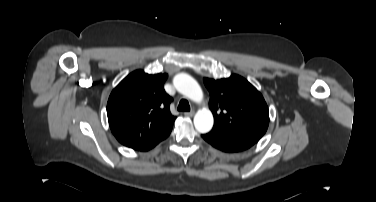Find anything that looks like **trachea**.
Returning a JSON list of instances; mask_svg holds the SVG:
<instances>
[{"mask_svg": "<svg viewBox=\"0 0 376 202\" xmlns=\"http://www.w3.org/2000/svg\"><path fill=\"white\" fill-rule=\"evenodd\" d=\"M179 111H190V105L186 99H182L178 105Z\"/></svg>", "mask_w": 376, "mask_h": 202, "instance_id": "obj_1", "label": "trachea"}]
</instances>
